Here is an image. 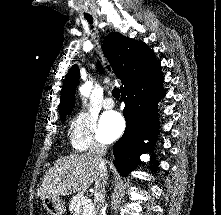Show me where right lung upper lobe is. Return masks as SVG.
<instances>
[{
	"instance_id": "obj_1",
	"label": "right lung upper lobe",
	"mask_w": 221,
	"mask_h": 215,
	"mask_svg": "<svg viewBox=\"0 0 221 215\" xmlns=\"http://www.w3.org/2000/svg\"><path fill=\"white\" fill-rule=\"evenodd\" d=\"M102 49L116 77L123 82L120 87L121 93L134 88L160 69V62L144 42L125 37L118 32L108 34ZM97 66L100 73H103L99 62ZM78 83L79 69L77 65H73L65 76L62 86L59 105L61 118H65V115L72 111Z\"/></svg>"
}]
</instances>
